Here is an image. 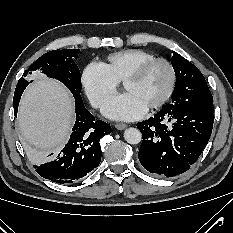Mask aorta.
<instances>
[{"instance_id":"762f6f07","label":"aorta","mask_w":233,"mask_h":233,"mask_svg":"<svg viewBox=\"0 0 233 233\" xmlns=\"http://www.w3.org/2000/svg\"><path fill=\"white\" fill-rule=\"evenodd\" d=\"M124 139L129 144H138L142 140L141 132L136 128H128L124 132Z\"/></svg>"}]
</instances>
